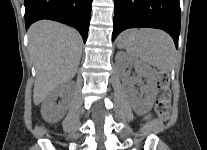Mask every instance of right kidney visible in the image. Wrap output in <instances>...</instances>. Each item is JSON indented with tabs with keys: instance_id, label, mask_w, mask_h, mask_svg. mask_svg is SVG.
<instances>
[{
	"instance_id": "1",
	"label": "right kidney",
	"mask_w": 207,
	"mask_h": 150,
	"mask_svg": "<svg viewBox=\"0 0 207 150\" xmlns=\"http://www.w3.org/2000/svg\"><path fill=\"white\" fill-rule=\"evenodd\" d=\"M67 91V86H58L43 101L41 106V114L45 121L55 123L64 117L68 109V101L63 100L57 105L56 100L58 97H62Z\"/></svg>"
}]
</instances>
